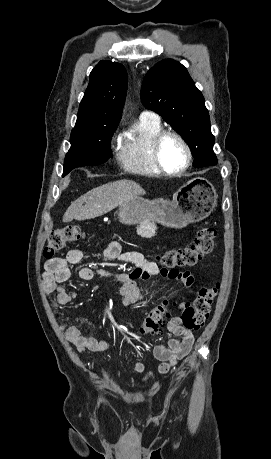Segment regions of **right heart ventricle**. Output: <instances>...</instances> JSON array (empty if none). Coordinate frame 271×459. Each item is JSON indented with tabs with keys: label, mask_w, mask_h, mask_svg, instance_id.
Returning a JSON list of instances; mask_svg holds the SVG:
<instances>
[{
	"label": "right heart ventricle",
	"mask_w": 271,
	"mask_h": 459,
	"mask_svg": "<svg viewBox=\"0 0 271 459\" xmlns=\"http://www.w3.org/2000/svg\"><path fill=\"white\" fill-rule=\"evenodd\" d=\"M162 128L160 119L140 117L133 134L125 142L119 155L124 170L145 176L163 175L152 159V141Z\"/></svg>",
	"instance_id": "obj_1"
}]
</instances>
